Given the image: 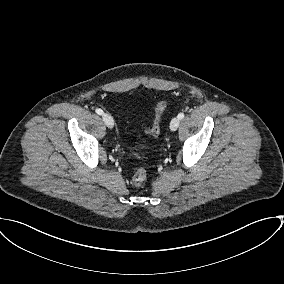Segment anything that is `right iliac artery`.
<instances>
[{
  "mask_svg": "<svg viewBox=\"0 0 284 284\" xmlns=\"http://www.w3.org/2000/svg\"><path fill=\"white\" fill-rule=\"evenodd\" d=\"M95 112H96L97 114H99V115H102V114L104 113L103 110L100 109V108H97V109L95 110Z\"/></svg>",
  "mask_w": 284,
  "mask_h": 284,
  "instance_id": "right-iliac-artery-1",
  "label": "right iliac artery"
}]
</instances>
